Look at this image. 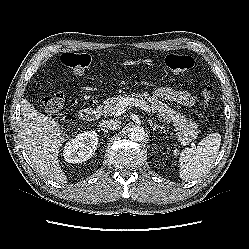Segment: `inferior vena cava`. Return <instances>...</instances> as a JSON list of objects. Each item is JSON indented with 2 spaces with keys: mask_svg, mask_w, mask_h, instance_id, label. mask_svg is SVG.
I'll return each instance as SVG.
<instances>
[{
  "mask_svg": "<svg viewBox=\"0 0 249 249\" xmlns=\"http://www.w3.org/2000/svg\"><path fill=\"white\" fill-rule=\"evenodd\" d=\"M99 124L101 127L110 129V130H117L121 127L120 121L112 120V119L102 120Z\"/></svg>",
  "mask_w": 249,
  "mask_h": 249,
  "instance_id": "602c4592",
  "label": "inferior vena cava"
}]
</instances>
